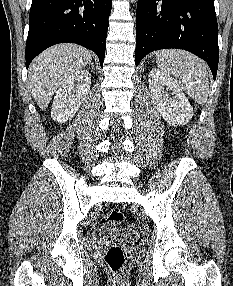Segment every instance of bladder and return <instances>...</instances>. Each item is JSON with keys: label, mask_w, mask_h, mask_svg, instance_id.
<instances>
[{"label": "bladder", "mask_w": 233, "mask_h": 286, "mask_svg": "<svg viewBox=\"0 0 233 286\" xmlns=\"http://www.w3.org/2000/svg\"><path fill=\"white\" fill-rule=\"evenodd\" d=\"M112 232L123 233L124 235H126L130 239H135L136 236H137V234L135 233V231L131 227L120 226L117 223L106 224V225L102 226L99 229V234L98 235L100 237H102V236H105V235H107L109 233H112Z\"/></svg>", "instance_id": "obj_1"}]
</instances>
